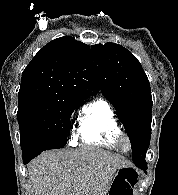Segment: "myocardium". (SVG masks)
<instances>
[{
	"label": "myocardium",
	"instance_id": "obj_1",
	"mask_svg": "<svg viewBox=\"0 0 178 195\" xmlns=\"http://www.w3.org/2000/svg\"><path fill=\"white\" fill-rule=\"evenodd\" d=\"M116 143L123 152H129L133 146L131 137L124 131H120L116 135Z\"/></svg>",
	"mask_w": 178,
	"mask_h": 195
}]
</instances>
